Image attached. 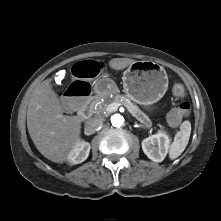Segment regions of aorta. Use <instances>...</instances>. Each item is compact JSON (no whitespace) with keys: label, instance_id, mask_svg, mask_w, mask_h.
Segmentation results:
<instances>
[{"label":"aorta","instance_id":"obj_1","mask_svg":"<svg viewBox=\"0 0 221 221\" xmlns=\"http://www.w3.org/2000/svg\"><path fill=\"white\" fill-rule=\"evenodd\" d=\"M124 117L120 114H114L111 117V123L114 127H121L124 124Z\"/></svg>","mask_w":221,"mask_h":221}]
</instances>
